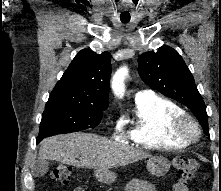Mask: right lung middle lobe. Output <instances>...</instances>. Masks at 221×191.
<instances>
[{
	"mask_svg": "<svg viewBox=\"0 0 221 191\" xmlns=\"http://www.w3.org/2000/svg\"><path fill=\"white\" fill-rule=\"evenodd\" d=\"M104 110L77 104L45 106L37 139L93 128L100 123Z\"/></svg>",
	"mask_w": 221,
	"mask_h": 191,
	"instance_id": "right-lung-middle-lobe-1",
	"label": "right lung middle lobe"
}]
</instances>
